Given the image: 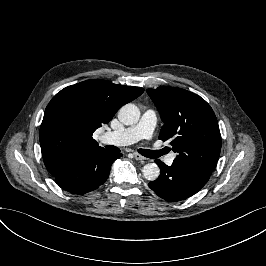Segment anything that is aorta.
<instances>
[{
	"label": "aorta",
	"instance_id": "obj_1",
	"mask_svg": "<svg viewBox=\"0 0 266 266\" xmlns=\"http://www.w3.org/2000/svg\"><path fill=\"white\" fill-rule=\"evenodd\" d=\"M140 118L139 108L132 103L122 106L118 113V119L124 125H133L138 123ZM142 173L148 181L156 180L160 175V169L155 163H148L143 166Z\"/></svg>",
	"mask_w": 266,
	"mask_h": 266
}]
</instances>
